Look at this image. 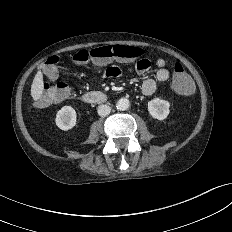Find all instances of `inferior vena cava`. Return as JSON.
<instances>
[{
    "mask_svg": "<svg viewBox=\"0 0 232 232\" xmlns=\"http://www.w3.org/2000/svg\"><path fill=\"white\" fill-rule=\"evenodd\" d=\"M110 111H111V107L108 106V105H105V104L100 105V106L98 107V110H97L98 114H99L101 117H105V116L109 115Z\"/></svg>",
    "mask_w": 232,
    "mask_h": 232,
    "instance_id": "602c4592",
    "label": "inferior vena cava"
}]
</instances>
